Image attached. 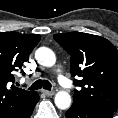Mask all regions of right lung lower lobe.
I'll use <instances>...</instances> for the list:
<instances>
[{
    "mask_svg": "<svg viewBox=\"0 0 118 118\" xmlns=\"http://www.w3.org/2000/svg\"><path fill=\"white\" fill-rule=\"evenodd\" d=\"M33 109L30 112H28V114L24 118H29L31 116L32 112H33Z\"/></svg>",
    "mask_w": 118,
    "mask_h": 118,
    "instance_id": "obj_1",
    "label": "right lung lower lobe"
}]
</instances>
